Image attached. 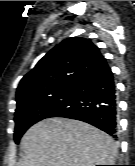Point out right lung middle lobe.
<instances>
[{
    "mask_svg": "<svg viewBox=\"0 0 135 166\" xmlns=\"http://www.w3.org/2000/svg\"><path fill=\"white\" fill-rule=\"evenodd\" d=\"M73 95V86H70L60 89L49 96L17 106L14 132L16 144L19 143L22 135L33 124L51 117L60 109L66 108L71 103Z\"/></svg>",
    "mask_w": 135,
    "mask_h": 166,
    "instance_id": "1",
    "label": "right lung middle lobe"
}]
</instances>
